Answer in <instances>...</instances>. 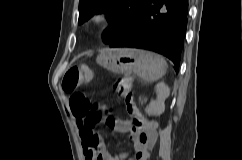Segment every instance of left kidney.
I'll use <instances>...</instances> for the list:
<instances>
[{
    "label": "left kidney",
    "mask_w": 242,
    "mask_h": 160,
    "mask_svg": "<svg viewBox=\"0 0 242 160\" xmlns=\"http://www.w3.org/2000/svg\"><path fill=\"white\" fill-rule=\"evenodd\" d=\"M166 96L162 95V98H159L158 100L152 101L150 103V106L148 108V112L149 113H155V111L157 112V114H160L161 112L164 111V100H165ZM156 106L158 107L156 109Z\"/></svg>",
    "instance_id": "1"
}]
</instances>
